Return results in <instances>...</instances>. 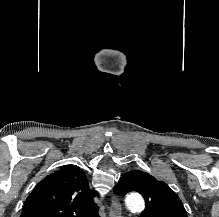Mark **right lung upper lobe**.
I'll list each match as a JSON object with an SVG mask.
<instances>
[{
	"mask_svg": "<svg viewBox=\"0 0 219 217\" xmlns=\"http://www.w3.org/2000/svg\"><path fill=\"white\" fill-rule=\"evenodd\" d=\"M97 195L78 166H63L33 189L21 217H99Z\"/></svg>",
	"mask_w": 219,
	"mask_h": 217,
	"instance_id": "obj_1",
	"label": "right lung upper lobe"
}]
</instances>
